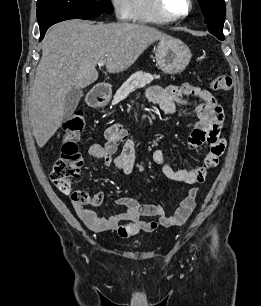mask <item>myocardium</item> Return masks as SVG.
Listing matches in <instances>:
<instances>
[{"label":"myocardium","instance_id":"1","mask_svg":"<svg viewBox=\"0 0 261 306\" xmlns=\"http://www.w3.org/2000/svg\"><path fill=\"white\" fill-rule=\"evenodd\" d=\"M187 2H188V9H187V11L184 14H182V15H171L167 11L163 0H153L154 7H155L156 11L163 18H165L169 22L183 20V19H185L186 17H188L190 15V13L193 10L194 3H193V0H187Z\"/></svg>","mask_w":261,"mask_h":306}]
</instances>
